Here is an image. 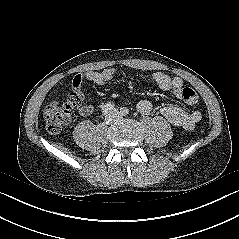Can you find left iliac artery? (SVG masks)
Returning a JSON list of instances; mask_svg holds the SVG:
<instances>
[{
	"label": "left iliac artery",
	"mask_w": 239,
	"mask_h": 239,
	"mask_svg": "<svg viewBox=\"0 0 239 239\" xmlns=\"http://www.w3.org/2000/svg\"><path fill=\"white\" fill-rule=\"evenodd\" d=\"M120 112H121V114H122L123 116H126V115L129 114V109H127V108H122Z\"/></svg>",
	"instance_id": "1"
}]
</instances>
